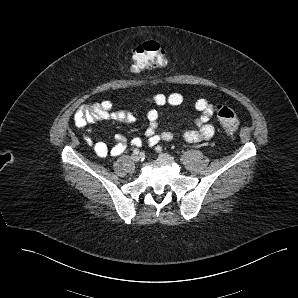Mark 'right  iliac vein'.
<instances>
[{
  "mask_svg": "<svg viewBox=\"0 0 298 298\" xmlns=\"http://www.w3.org/2000/svg\"><path fill=\"white\" fill-rule=\"evenodd\" d=\"M131 160L134 163H138L140 161V156L138 154H132L131 155Z\"/></svg>",
  "mask_w": 298,
  "mask_h": 298,
  "instance_id": "1",
  "label": "right iliac vein"
}]
</instances>
